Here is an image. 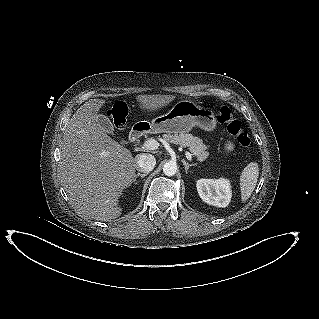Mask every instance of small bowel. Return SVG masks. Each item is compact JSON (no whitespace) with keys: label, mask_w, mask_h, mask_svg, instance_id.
<instances>
[{"label":"small bowel","mask_w":319,"mask_h":319,"mask_svg":"<svg viewBox=\"0 0 319 319\" xmlns=\"http://www.w3.org/2000/svg\"><path fill=\"white\" fill-rule=\"evenodd\" d=\"M224 148L226 153H231L234 149V145L231 142H227Z\"/></svg>","instance_id":"1"}]
</instances>
